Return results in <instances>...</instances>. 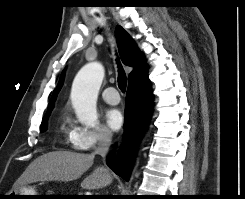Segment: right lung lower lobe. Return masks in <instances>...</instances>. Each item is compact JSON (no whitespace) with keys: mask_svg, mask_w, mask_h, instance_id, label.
<instances>
[{"mask_svg":"<svg viewBox=\"0 0 245 199\" xmlns=\"http://www.w3.org/2000/svg\"><path fill=\"white\" fill-rule=\"evenodd\" d=\"M153 108L150 83L128 86L125 106V132L129 141L123 153L115 159L108 156L107 165L120 177L128 181L134 160L136 141L148 126Z\"/></svg>","mask_w":245,"mask_h":199,"instance_id":"obj_1","label":"right lung lower lobe"}]
</instances>
